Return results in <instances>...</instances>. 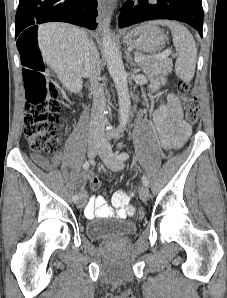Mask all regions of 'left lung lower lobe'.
Returning <instances> with one entry per match:
<instances>
[{
  "label": "left lung lower lobe",
  "instance_id": "obj_1",
  "mask_svg": "<svg viewBox=\"0 0 227 298\" xmlns=\"http://www.w3.org/2000/svg\"><path fill=\"white\" fill-rule=\"evenodd\" d=\"M142 2L144 4L139 6H133L131 2L123 5L118 22L120 27L147 20L171 19L191 25L202 36L204 17L202 0H158L155 5L148 4V0Z\"/></svg>",
  "mask_w": 227,
  "mask_h": 298
}]
</instances>
